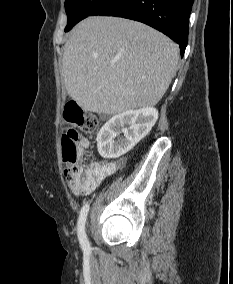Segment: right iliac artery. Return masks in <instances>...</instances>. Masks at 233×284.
<instances>
[{
	"label": "right iliac artery",
	"mask_w": 233,
	"mask_h": 284,
	"mask_svg": "<svg viewBox=\"0 0 233 284\" xmlns=\"http://www.w3.org/2000/svg\"><path fill=\"white\" fill-rule=\"evenodd\" d=\"M88 211H89V204L86 203L81 211H80V215L78 218V223H77V234H78V239L79 242L83 248L84 251L88 252L89 251V242L87 240V236L85 233V222L87 219V215H88Z\"/></svg>",
	"instance_id": "1"
}]
</instances>
